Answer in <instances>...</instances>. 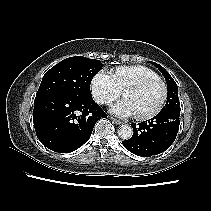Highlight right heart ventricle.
<instances>
[{
  "label": "right heart ventricle",
  "instance_id": "right-heart-ventricle-1",
  "mask_svg": "<svg viewBox=\"0 0 211 211\" xmlns=\"http://www.w3.org/2000/svg\"><path fill=\"white\" fill-rule=\"evenodd\" d=\"M113 76L115 77L119 87L124 90L129 85L146 79L159 77L153 69L143 65H130L117 67Z\"/></svg>",
  "mask_w": 211,
  "mask_h": 211
}]
</instances>
